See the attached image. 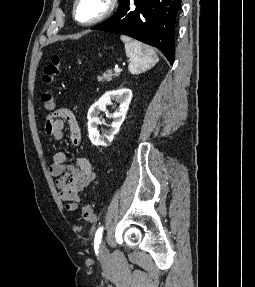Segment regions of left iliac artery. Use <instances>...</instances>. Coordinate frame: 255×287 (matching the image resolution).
<instances>
[{
	"label": "left iliac artery",
	"mask_w": 255,
	"mask_h": 287,
	"mask_svg": "<svg viewBox=\"0 0 255 287\" xmlns=\"http://www.w3.org/2000/svg\"><path fill=\"white\" fill-rule=\"evenodd\" d=\"M102 233H103V227H100L95 234V245L96 246H98L101 243Z\"/></svg>",
	"instance_id": "44dca946"
}]
</instances>
